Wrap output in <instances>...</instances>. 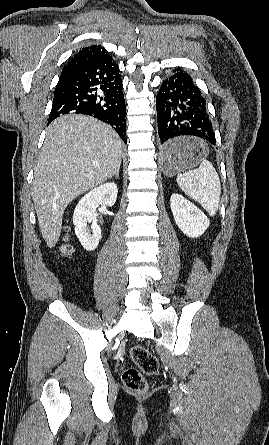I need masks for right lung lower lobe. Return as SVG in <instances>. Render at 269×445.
Segmentation results:
<instances>
[{
	"instance_id": "obj_1",
	"label": "right lung lower lobe",
	"mask_w": 269,
	"mask_h": 445,
	"mask_svg": "<svg viewBox=\"0 0 269 445\" xmlns=\"http://www.w3.org/2000/svg\"><path fill=\"white\" fill-rule=\"evenodd\" d=\"M122 89L119 67L110 55L88 63L58 82L49 123L67 113L91 115L110 124L127 143Z\"/></svg>"
}]
</instances>
